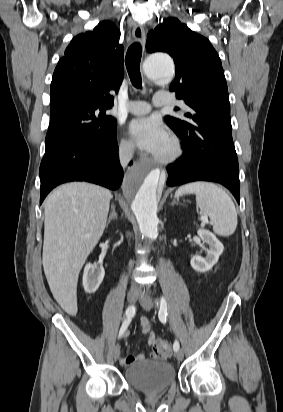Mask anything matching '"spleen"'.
I'll use <instances>...</instances> for the list:
<instances>
[{
	"instance_id": "1",
	"label": "spleen",
	"mask_w": 283,
	"mask_h": 412,
	"mask_svg": "<svg viewBox=\"0 0 283 412\" xmlns=\"http://www.w3.org/2000/svg\"><path fill=\"white\" fill-rule=\"evenodd\" d=\"M195 194L200 210L209 216L213 231L220 236L232 235L237 227V212L228 194L219 186L209 182H193L181 186L176 197Z\"/></svg>"
}]
</instances>
